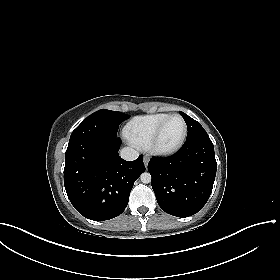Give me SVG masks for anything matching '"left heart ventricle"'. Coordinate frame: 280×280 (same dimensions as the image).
<instances>
[{
  "label": "left heart ventricle",
  "mask_w": 280,
  "mask_h": 280,
  "mask_svg": "<svg viewBox=\"0 0 280 280\" xmlns=\"http://www.w3.org/2000/svg\"><path fill=\"white\" fill-rule=\"evenodd\" d=\"M183 133V122L181 121L180 118L174 117L171 118L161 135L160 138V145L161 146H169L174 144L179 140Z\"/></svg>",
  "instance_id": "left-heart-ventricle-1"
}]
</instances>
